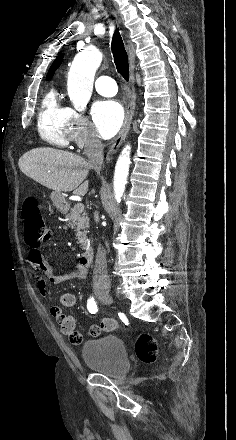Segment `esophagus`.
Instances as JSON below:
<instances>
[{
  "label": "esophagus",
  "instance_id": "34e87169",
  "mask_svg": "<svg viewBox=\"0 0 236 440\" xmlns=\"http://www.w3.org/2000/svg\"><path fill=\"white\" fill-rule=\"evenodd\" d=\"M127 50H128V56H129V63H130V82H131V100L130 103L126 109V115H125V121L123 124V127L121 131L119 132L117 138L112 143L108 155L107 160H110L112 155L118 150L122 142L125 140L126 135L130 129V124L132 121V117L135 110V104H136V94H135V88H134V69H135V54L134 49L129 41H127Z\"/></svg>",
  "mask_w": 236,
  "mask_h": 440
}]
</instances>
